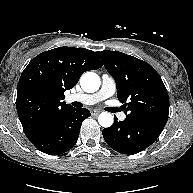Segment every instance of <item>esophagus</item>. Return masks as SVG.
<instances>
[{
	"instance_id": "34e87169",
	"label": "esophagus",
	"mask_w": 193,
	"mask_h": 193,
	"mask_svg": "<svg viewBox=\"0 0 193 193\" xmlns=\"http://www.w3.org/2000/svg\"><path fill=\"white\" fill-rule=\"evenodd\" d=\"M100 112H101L100 110H96V109L91 110V114L93 116H97Z\"/></svg>"
}]
</instances>
